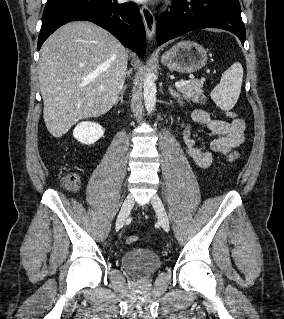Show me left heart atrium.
Segmentation results:
<instances>
[{
  "mask_svg": "<svg viewBox=\"0 0 284 319\" xmlns=\"http://www.w3.org/2000/svg\"><path fill=\"white\" fill-rule=\"evenodd\" d=\"M135 1H137V2H142V1H146V0H135Z\"/></svg>",
  "mask_w": 284,
  "mask_h": 319,
  "instance_id": "39dd6f15",
  "label": "left heart atrium"
}]
</instances>
